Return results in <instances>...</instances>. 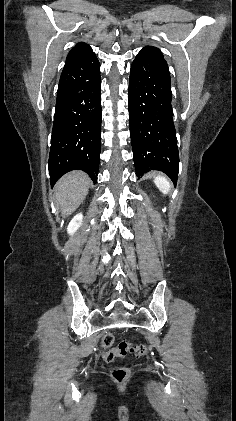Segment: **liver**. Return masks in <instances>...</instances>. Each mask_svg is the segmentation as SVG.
Here are the masks:
<instances>
[{
	"instance_id": "liver-1",
	"label": "liver",
	"mask_w": 236,
	"mask_h": 421,
	"mask_svg": "<svg viewBox=\"0 0 236 421\" xmlns=\"http://www.w3.org/2000/svg\"><path fill=\"white\" fill-rule=\"evenodd\" d=\"M90 186L92 180L83 170H72L59 178L54 186V192L62 217H69L76 211L79 204L85 200Z\"/></svg>"
}]
</instances>
